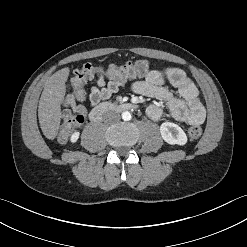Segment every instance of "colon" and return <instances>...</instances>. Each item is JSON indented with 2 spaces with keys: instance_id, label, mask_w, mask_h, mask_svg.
Masks as SVG:
<instances>
[{
  "instance_id": "5ec220e1",
  "label": "colon",
  "mask_w": 247,
  "mask_h": 247,
  "mask_svg": "<svg viewBox=\"0 0 247 247\" xmlns=\"http://www.w3.org/2000/svg\"><path fill=\"white\" fill-rule=\"evenodd\" d=\"M150 69V63L144 59L128 61L123 65H109L107 68H102L92 64H85L82 68L77 69L73 73L72 85L74 96L78 101L84 98L83 87L88 80H91L98 74H105L111 79L127 80L145 75ZM84 121L82 113H74L67 115L63 124L60 127L59 138L61 141H66L72 130L78 124ZM188 135L192 140L198 139L202 135L200 126H192L188 130Z\"/></svg>"
}]
</instances>
